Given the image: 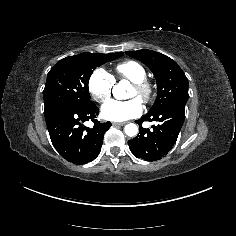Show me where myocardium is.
Wrapping results in <instances>:
<instances>
[{"mask_svg":"<svg viewBox=\"0 0 236 236\" xmlns=\"http://www.w3.org/2000/svg\"><path fill=\"white\" fill-rule=\"evenodd\" d=\"M131 86L138 91L140 102H142L143 104H147L151 100L153 87L146 78L132 81Z\"/></svg>","mask_w":236,"mask_h":236,"instance_id":"myocardium-1","label":"myocardium"}]
</instances>
